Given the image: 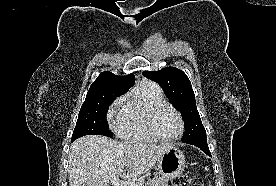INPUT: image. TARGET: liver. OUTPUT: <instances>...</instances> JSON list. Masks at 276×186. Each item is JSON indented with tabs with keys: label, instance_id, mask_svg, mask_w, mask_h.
<instances>
[{
	"label": "liver",
	"instance_id": "liver-1",
	"mask_svg": "<svg viewBox=\"0 0 276 186\" xmlns=\"http://www.w3.org/2000/svg\"><path fill=\"white\" fill-rule=\"evenodd\" d=\"M171 147L115 141L99 135L83 136L70 147L69 186H111L114 177L134 182Z\"/></svg>",
	"mask_w": 276,
	"mask_h": 186
}]
</instances>
